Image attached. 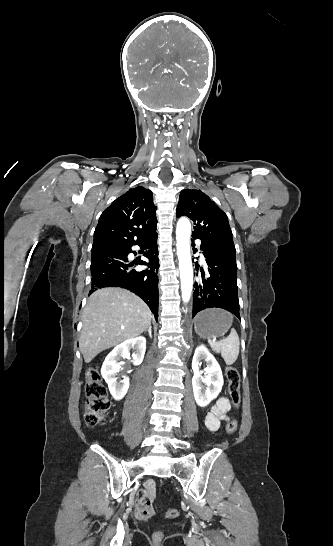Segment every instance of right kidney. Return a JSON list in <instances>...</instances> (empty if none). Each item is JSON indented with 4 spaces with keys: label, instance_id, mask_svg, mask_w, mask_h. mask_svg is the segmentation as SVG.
Returning <instances> with one entry per match:
<instances>
[{
    "label": "right kidney",
    "instance_id": "ca27d5eb",
    "mask_svg": "<svg viewBox=\"0 0 333 546\" xmlns=\"http://www.w3.org/2000/svg\"><path fill=\"white\" fill-rule=\"evenodd\" d=\"M134 352L131 355V362L134 365H140L144 359L146 350V339L137 337L128 339L116 346L105 358L101 368L102 377L108 384L109 391L115 400H121L128 391L129 378L124 377L122 382H117V373L119 372V357H130V350Z\"/></svg>",
    "mask_w": 333,
    "mask_h": 546
}]
</instances>
